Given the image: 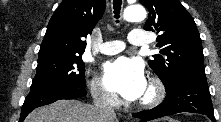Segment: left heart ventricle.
Masks as SVG:
<instances>
[{"label":"left heart ventricle","mask_w":221,"mask_h":122,"mask_svg":"<svg viewBox=\"0 0 221 122\" xmlns=\"http://www.w3.org/2000/svg\"><path fill=\"white\" fill-rule=\"evenodd\" d=\"M147 91H148V88L146 89V91H145L144 95L142 96V98H143L144 96H146Z\"/></svg>","instance_id":"left-heart-ventricle-1"}]
</instances>
